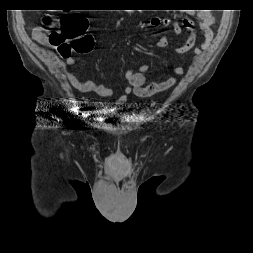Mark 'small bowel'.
<instances>
[{
	"label": "small bowel",
	"instance_id": "small-bowel-1",
	"mask_svg": "<svg viewBox=\"0 0 253 253\" xmlns=\"http://www.w3.org/2000/svg\"><path fill=\"white\" fill-rule=\"evenodd\" d=\"M197 22L199 29L203 38L201 49L196 47L197 34L194 32V24L188 18H183L181 22L173 20L171 18H153L150 24L153 26H164L170 27L174 34L179 36L182 33L183 28L191 32L187 41L182 44L175 46L174 50L178 54H184L190 50L196 56L202 53V50H207L210 47V43L213 39V17L210 11H199L197 14ZM34 40L42 45L48 44V36L43 28H38L33 33ZM168 45V39L165 35L159 37L156 42V46L159 48H164ZM75 63L74 58L68 57L65 61L66 67L72 66ZM148 64H142L135 71L129 69L125 73L126 86L121 88L122 95L120 96L118 102L124 103L130 94L137 97L145 98L153 96L157 93L163 92L174 86L178 78L184 73V69L178 65H174L172 68L174 76L160 82L147 83L146 72L148 71ZM66 77L71 83V85L81 93L94 92L97 96L102 99H108L113 95V90L107 85L97 83L92 80L80 81L73 73L67 72Z\"/></svg>",
	"mask_w": 253,
	"mask_h": 253
}]
</instances>
